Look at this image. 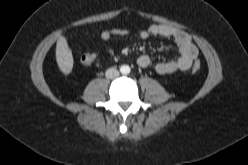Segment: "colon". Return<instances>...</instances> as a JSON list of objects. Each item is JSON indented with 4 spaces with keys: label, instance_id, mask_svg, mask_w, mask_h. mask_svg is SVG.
I'll list each match as a JSON object with an SVG mask.
<instances>
[{
    "label": "colon",
    "instance_id": "1",
    "mask_svg": "<svg viewBox=\"0 0 248 165\" xmlns=\"http://www.w3.org/2000/svg\"><path fill=\"white\" fill-rule=\"evenodd\" d=\"M94 55L92 53H86L84 54L82 57H81V62L84 64V65H90L94 62ZM201 69V64L199 61L195 62L193 67H192V71L194 73L196 72H199Z\"/></svg>",
    "mask_w": 248,
    "mask_h": 165
}]
</instances>
